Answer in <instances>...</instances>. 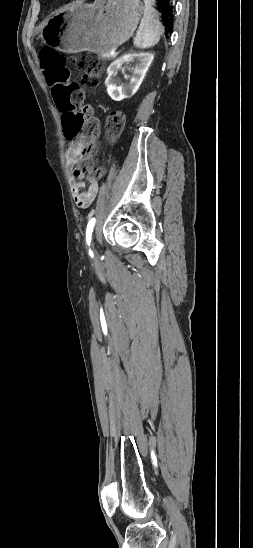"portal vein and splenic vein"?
<instances>
[{"instance_id": "portal-vein-and-splenic-vein-1", "label": "portal vein and splenic vein", "mask_w": 253, "mask_h": 548, "mask_svg": "<svg viewBox=\"0 0 253 548\" xmlns=\"http://www.w3.org/2000/svg\"><path fill=\"white\" fill-rule=\"evenodd\" d=\"M116 54V52H111V55L114 57V55Z\"/></svg>"}]
</instances>
